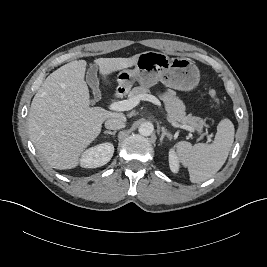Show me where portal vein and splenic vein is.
I'll use <instances>...</instances> for the list:
<instances>
[{
    "label": "portal vein and splenic vein",
    "mask_w": 267,
    "mask_h": 267,
    "mask_svg": "<svg viewBox=\"0 0 267 267\" xmlns=\"http://www.w3.org/2000/svg\"><path fill=\"white\" fill-rule=\"evenodd\" d=\"M140 100L152 102L153 104L157 105L162 110L161 102L155 96L151 94H144V95H140V96H137L131 99L113 102L109 105V109L113 111H128L136 107L139 104ZM166 118H167V121L176 128L184 129L191 133L195 131V129L191 126H187V125L174 122L168 116ZM207 137H208V140L210 141L211 135H208Z\"/></svg>",
    "instance_id": "portal-vein-and-splenic-vein-1"
}]
</instances>
